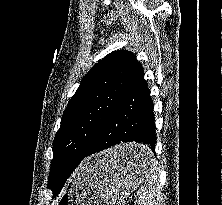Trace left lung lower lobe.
I'll return each mask as SVG.
<instances>
[{
  "mask_svg": "<svg viewBox=\"0 0 222 205\" xmlns=\"http://www.w3.org/2000/svg\"><path fill=\"white\" fill-rule=\"evenodd\" d=\"M153 102L144 79L142 66L133 75L129 85L122 92L102 127L98 131L88 151L77 156L66 154L59 162L65 177L53 190V198L60 192L64 183L76 167L88 156L120 143L137 142L149 147L147 150L127 151L119 156V161L132 165H144L150 161V150L156 144Z\"/></svg>",
  "mask_w": 222,
  "mask_h": 205,
  "instance_id": "1",
  "label": "left lung lower lobe"
}]
</instances>
